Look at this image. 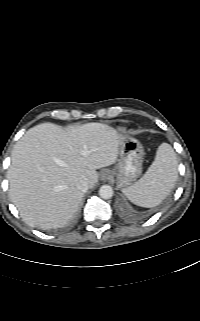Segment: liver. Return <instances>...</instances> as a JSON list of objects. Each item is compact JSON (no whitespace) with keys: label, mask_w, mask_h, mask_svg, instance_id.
<instances>
[{"label":"liver","mask_w":200,"mask_h":321,"mask_svg":"<svg viewBox=\"0 0 200 321\" xmlns=\"http://www.w3.org/2000/svg\"><path fill=\"white\" fill-rule=\"evenodd\" d=\"M123 138L107 124L64 130L52 123L30 128L15 144L7 172L9 197L31 227H63L77 212L84 192L98 181L97 169L117 161Z\"/></svg>","instance_id":"1"}]
</instances>
